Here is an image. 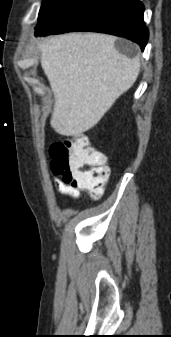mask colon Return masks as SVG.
Listing matches in <instances>:
<instances>
[{
    "label": "colon",
    "mask_w": 171,
    "mask_h": 337,
    "mask_svg": "<svg viewBox=\"0 0 171 337\" xmlns=\"http://www.w3.org/2000/svg\"><path fill=\"white\" fill-rule=\"evenodd\" d=\"M51 168L64 183L100 198L109 178L105 154L94 148L84 133H73L52 143Z\"/></svg>",
    "instance_id": "colon-1"
}]
</instances>
